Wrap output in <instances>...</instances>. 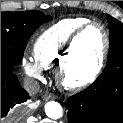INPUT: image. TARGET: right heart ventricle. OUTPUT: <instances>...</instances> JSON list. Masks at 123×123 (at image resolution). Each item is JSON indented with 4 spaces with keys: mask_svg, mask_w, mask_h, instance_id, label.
<instances>
[{
    "mask_svg": "<svg viewBox=\"0 0 123 123\" xmlns=\"http://www.w3.org/2000/svg\"><path fill=\"white\" fill-rule=\"evenodd\" d=\"M89 19L74 17L59 21L44 30L33 45V58L42 68H57L62 63L70 38Z\"/></svg>",
    "mask_w": 123,
    "mask_h": 123,
    "instance_id": "1",
    "label": "right heart ventricle"
}]
</instances>
